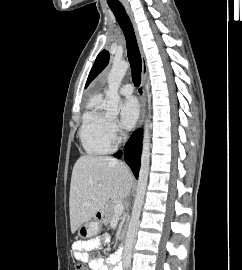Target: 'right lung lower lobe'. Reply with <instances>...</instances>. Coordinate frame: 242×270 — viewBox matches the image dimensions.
<instances>
[{
    "instance_id": "98d812e1",
    "label": "right lung lower lobe",
    "mask_w": 242,
    "mask_h": 270,
    "mask_svg": "<svg viewBox=\"0 0 242 270\" xmlns=\"http://www.w3.org/2000/svg\"><path fill=\"white\" fill-rule=\"evenodd\" d=\"M142 151V131L134 132L129 138L124 151L126 163L132 169L136 178L140 168V154Z\"/></svg>"
}]
</instances>
